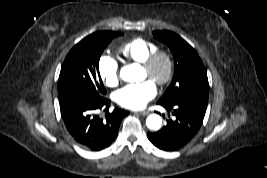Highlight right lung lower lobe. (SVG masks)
Instances as JSON below:
<instances>
[{"instance_id":"right-lung-lower-lobe-1","label":"right lung lower lobe","mask_w":267,"mask_h":178,"mask_svg":"<svg viewBox=\"0 0 267 178\" xmlns=\"http://www.w3.org/2000/svg\"><path fill=\"white\" fill-rule=\"evenodd\" d=\"M61 115L73 139L83 148L99 151L115 140L127 111L115 108L108 112L110 100L83 93H71L59 98ZM105 111V117L99 112Z\"/></svg>"}]
</instances>
